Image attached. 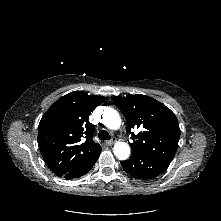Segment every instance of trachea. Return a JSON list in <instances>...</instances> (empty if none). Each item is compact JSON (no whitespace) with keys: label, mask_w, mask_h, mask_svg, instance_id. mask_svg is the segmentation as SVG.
I'll return each mask as SVG.
<instances>
[{"label":"trachea","mask_w":221,"mask_h":221,"mask_svg":"<svg viewBox=\"0 0 221 221\" xmlns=\"http://www.w3.org/2000/svg\"><path fill=\"white\" fill-rule=\"evenodd\" d=\"M98 137L100 140H110L111 139V136L105 130H100L98 133Z\"/></svg>","instance_id":"1"}]
</instances>
